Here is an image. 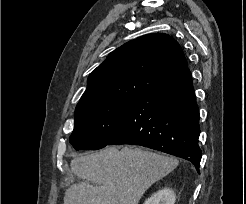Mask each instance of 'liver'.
<instances>
[{
    "instance_id": "liver-1",
    "label": "liver",
    "mask_w": 246,
    "mask_h": 204,
    "mask_svg": "<svg viewBox=\"0 0 246 204\" xmlns=\"http://www.w3.org/2000/svg\"><path fill=\"white\" fill-rule=\"evenodd\" d=\"M178 163L173 157L128 146L74 158L71 171L82 181L65 191L64 204H138L145 191Z\"/></svg>"
}]
</instances>
